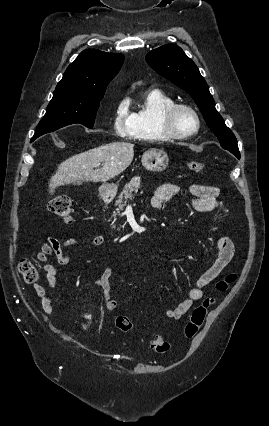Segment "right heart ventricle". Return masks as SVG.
I'll return each instance as SVG.
<instances>
[{
  "mask_svg": "<svg viewBox=\"0 0 269 426\" xmlns=\"http://www.w3.org/2000/svg\"><path fill=\"white\" fill-rule=\"evenodd\" d=\"M175 103L174 99L159 90H150L144 96L143 105L134 112L135 135L140 141L157 142L169 139L160 128L162 111Z\"/></svg>",
  "mask_w": 269,
  "mask_h": 426,
  "instance_id": "e07e8e85",
  "label": "right heart ventricle"
}]
</instances>
